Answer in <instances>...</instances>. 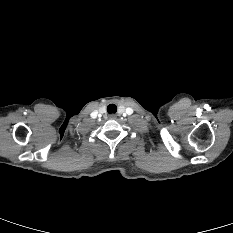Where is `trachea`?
Segmentation results:
<instances>
[{
	"mask_svg": "<svg viewBox=\"0 0 233 233\" xmlns=\"http://www.w3.org/2000/svg\"><path fill=\"white\" fill-rule=\"evenodd\" d=\"M107 111H108L109 114H111V113H116V111H117L116 105L110 104V105L107 107Z\"/></svg>",
	"mask_w": 233,
	"mask_h": 233,
	"instance_id": "1",
	"label": "trachea"
}]
</instances>
